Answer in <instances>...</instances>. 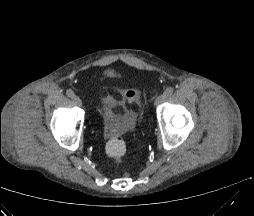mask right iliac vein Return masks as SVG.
<instances>
[{"mask_svg":"<svg viewBox=\"0 0 254 216\" xmlns=\"http://www.w3.org/2000/svg\"><path fill=\"white\" fill-rule=\"evenodd\" d=\"M73 101L77 106H82V100L78 96L73 97Z\"/></svg>","mask_w":254,"mask_h":216,"instance_id":"63e3f726","label":"right iliac vein"}]
</instances>
